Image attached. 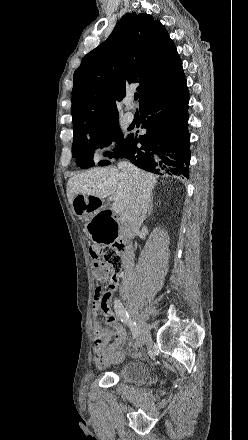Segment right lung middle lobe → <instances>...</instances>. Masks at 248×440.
Listing matches in <instances>:
<instances>
[{
    "mask_svg": "<svg viewBox=\"0 0 248 440\" xmlns=\"http://www.w3.org/2000/svg\"><path fill=\"white\" fill-rule=\"evenodd\" d=\"M129 138V136H124L119 128L118 122H116L104 128L74 135L72 154L73 157H76L77 165L86 169L95 164L93 161V153L96 147L103 148L106 145H110L112 141H116L117 149L114 150L115 153H110L108 156L110 158H121L127 149ZM105 155H107V153ZM98 164L104 166L110 164V161L103 160Z\"/></svg>",
    "mask_w": 248,
    "mask_h": 440,
    "instance_id": "dd1d6c3e",
    "label": "right lung middle lobe"
}]
</instances>
